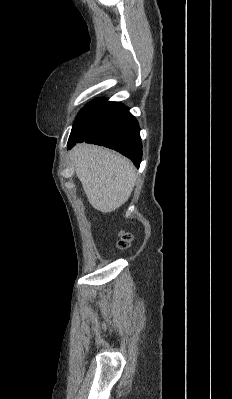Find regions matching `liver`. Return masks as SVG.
<instances>
[{"label":"liver","instance_id":"6515ba94","mask_svg":"<svg viewBox=\"0 0 232 399\" xmlns=\"http://www.w3.org/2000/svg\"><path fill=\"white\" fill-rule=\"evenodd\" d=\"M71 152L76 176L95 209L108 213L130 198L136 182L130 160L91 144H77Z\"/></svg>","mask_w":232,"mask_h":399}]
</instances>
